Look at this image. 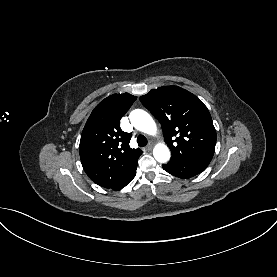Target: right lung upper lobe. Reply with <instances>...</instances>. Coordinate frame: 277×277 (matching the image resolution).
Wrapping results in <instances>:
<instances>
[{
  "label": "right lung upper lobe",
  "mask_w": 277,
  "mask_h": 277,
  "mask_svg": "<svg viewBox=\"0 0 277 277\" xmlns=\"http://www.w3.org/2000/svg\"><path fill=\"white\" fill-rule=\"evenodd\" d=\"M136 96L113 94L92 111L83 129L79 153L88 177L104 188L115 189L137 167L142 154L129 146L131 133L123 132L120 120Z\"/></svg>",
  "instance_id": "obj_1"
}]
</instances>
